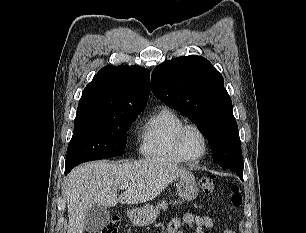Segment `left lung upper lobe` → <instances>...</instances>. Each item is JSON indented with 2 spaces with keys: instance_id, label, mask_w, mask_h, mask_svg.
Returning <instances> with one entry per match:
<instances>
[{
  "instance_id": "5c2ea615",
  "label": "left lung upper lobe",
  "mask_w": 306,
  "mask_h": 233,
  "mask_svg": "<svg viewBox=\"0 0 306 233\" xmlns=\"http://www.w3.org/2000/svg\"><path fill=\"white\" fill-rule=\"evenodd\" d=\"M151 88L158 99L197 124L215 163L243 170L231 98L222 75L207 59L190 55L161 63L152 73Z\"/></svg>"
}]
</instances>
